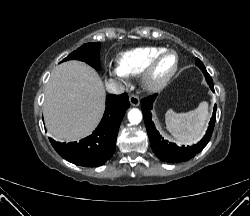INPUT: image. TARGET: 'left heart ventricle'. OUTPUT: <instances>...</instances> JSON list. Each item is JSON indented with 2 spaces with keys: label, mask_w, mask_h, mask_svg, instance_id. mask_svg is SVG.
<instances>
[{
  "label": "left heart ventricle",
  "mask_w": 250,
  "mask_h": 216,
  "mask_svg": "<svg viewBox=\"0 0 250 216\" xmlns=\"http://www.w3.org/2000/svg\"><path fill=\"white\" fill-rule=\"evenodd\" d=\"M175 57L171 54L164 56L158 63L155 70V78L162 79L165 77L174 67Z\"/></svg>",
  "instance_id": "1"
}]
</instances>
